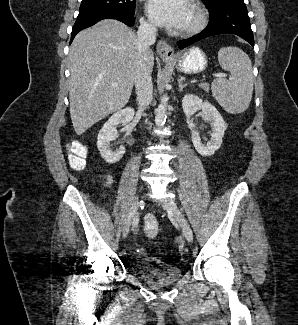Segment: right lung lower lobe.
Wrapping results in <instances>:
<instances>
[{
	"mask_svg": "<svg viewBox=\"0 0 298 325\" xmlns=\"http://www.w3.org/2000/svg\"><path fill=\"white\" fill-rule=\"evenodd\" d=\"M106 18L117 19L128 26H133L135 23L134 14H128L120 11L100 12L87 16H78L72 29L71 41L79 31L90 27L98 21Z\"/></svg>",
	"mask_w": 298,
	"mask_h": 325,
	"instance_id": "right-lung-lower-lobe-1",
	"label": "right lung lower lobe"
}]
</instances>
